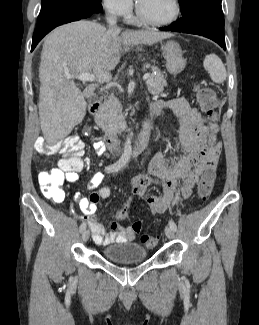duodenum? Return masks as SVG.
<instances>
[{"label":"duodenum","mask_w":259,"mask_h":325,"mask_svg":"<svg viewBox=\"0 0 259 325\" xmlns=\"http://www.w3.org/2000/svg\"><path fill=\"white\" fill-rule=\"evenodd\" d=\"M101 102L95 101L89 107V112L93 117H97L101 110ZM152 128V119L148 115L142 120V124L135 140L127 138L125 140H119L113 134H106L104 136V144L107 148L114 152H125L128 149L141 148L149 140L150 131Z\"/></svg>","instance_id":"duodenum-1"}]
</instances>
